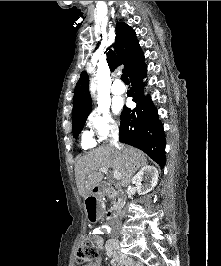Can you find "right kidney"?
<instances>
[{"mask_svg": "<svg viewBox=\"0 0 221 266\" xmlns=\"http://www.w3.org/2000/svg\"><path fill=\"white\" fill-rule=\"evenodd\" d=\"M158 177L157 169L146 165L133 177L132 183L135 184L138 193H148L157 185Z\"/></svg>", "mask_w": 221, "mask_h": 266, "instance_id": "1", "label": "right kidney"}]
</instances>
